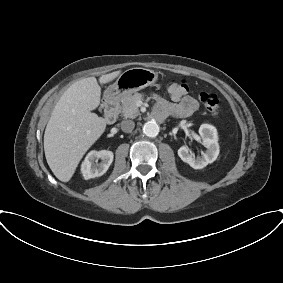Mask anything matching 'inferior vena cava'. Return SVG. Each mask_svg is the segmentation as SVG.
Instances as JSON below:
<instances>
[{"label": "inferior vena cava", "mask_w": 283, "mask_h": 283, "mask_svg": "<svg viewBox=\"0 0 283 283\" xmlns=\"http://www.w3.org/2000/svg\"><path fill=\"white\" fill-rule=\"evenodd\" d=\"M120 127L124 132H132L135 127V123L132 120H124L120 123Z\"/></svg>", "instance_id": "obj_1"}]
</instances>
